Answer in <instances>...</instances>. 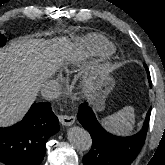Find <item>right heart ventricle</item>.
Returning a JSON list of instances; mask_svg holds the SVG:
<instances>
[{
  "instance_id": "e07e8e85",
  "label": "right heart ventricle",
  "mask_w": 165,
  "mask_h": 165,
  "mask_svg": "<svg viewBox=\"0 0 165 165\" xmlns=\"http://www.w3.org/2000/svg\"><path fill=\"white\" fill-rule=\"evenodd\" d=\"M83 43L85 49L90 54L109 55L114 51V48L110 42L96 34L87 36Z\"/></svg>"
}]
</instances>
